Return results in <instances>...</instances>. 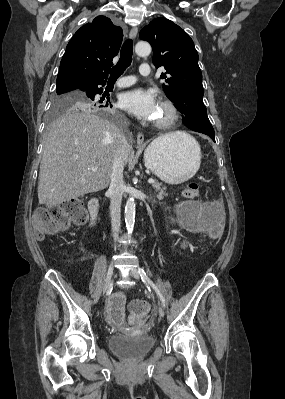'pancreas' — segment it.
<instances>
[{
  "label": "pancreas",
  "mask_w": 285,
  "mask_h": 399,
  "mask_svg": "<svg viewBox=\"0 0 285 399\" xmlns=\"http://www.w3.org/2000/svg\"><path fill=\"white\" fill-rule=\"evenodd\" d=\"M152 187L157 198L163 199L167 195L166 187L162 183L156 182L152 185Z\"/></svg>",
  "instance_id": "pancreas-1"
}]
</instances>
